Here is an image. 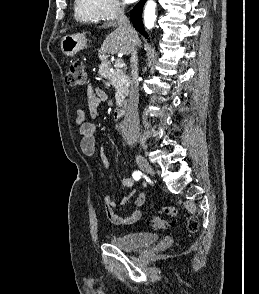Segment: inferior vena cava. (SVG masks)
Wrapping results in <instances>:
<instances>
[{
  "label": "inferior vena cava",
  "mask_w": 259,
  "mask_h": 294,
  "mask_svg": "<svg viewBox=\"0 0 259 294\" xmlns=\"http://www.w3.org/2000/svg\"><path fill=\"white\" fill-rule=\"evenodd\" d=\"M117 25L122 29L129 38V53L131 73L129 78L130 90H129V102L127 107V116L132 124L131 128V141H137V124L139 122L138 115V102H139V81H138V58L136 47L133 43L132 36L135 30L131 27L129 19L126 17L124 8L121 4H118L116 10Z\"/></svg>",
  "instance_id": "obj_1"
}]
</instances>
